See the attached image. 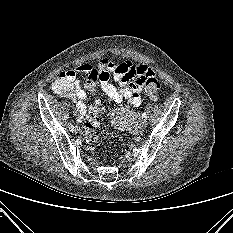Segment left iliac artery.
<instances>
[{"label":"left iliac artery","instance_id":"left-iliac-artery-1","mask_svg":"<svg viewBox=\"0 0 233 233\" xmlns=\"http://www.w3.org/2000/svg\"><path fill=\"white\" fill-rule=\"evenodd\" d=\"M142 119H144V120L147 119V114H146V113H143V114H142Z\"/></svg>","mask_w":233,"mask_h":233}]
</instances>
